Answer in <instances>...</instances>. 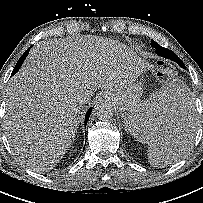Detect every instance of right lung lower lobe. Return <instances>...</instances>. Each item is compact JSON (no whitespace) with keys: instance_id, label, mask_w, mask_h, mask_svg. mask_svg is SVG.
Returning <instances> with one entry per match:
<instances>
[{"instance_id":"obj_1","label":"right lung lower lobe","mask_w":203,"mask_h":203,"mask_svg":"<svg viewBox=\"0 0 203 203\" xmlns=\"http://www.w3.org/2000/svg\"><path fill=\"white\" fill-rule=\"evenodd\" d=\"M29 50H30V48H29L27 51H25V53L20 57V59L18 60L16 66H15V68H14V71L12 72V75L15 74V73L19 70V68H20L21 65L23 64L25 58H26L27 55L29 54ZM91 111H92V107L88 109V111H87V113H86V115H85V126H86L87 121H88V119H89V117H90Z\"/></svg>"}]
</instances>
